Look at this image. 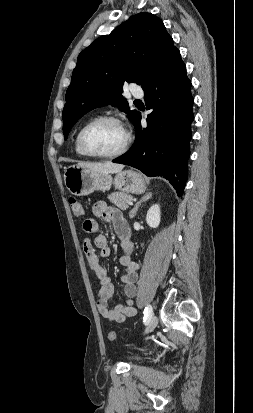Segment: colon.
I'll return each instance as SVG.
<instances>
[{
	"instance_id": "colon-1",
	"label": "colon",
	"mask_w": 253,
	"mask_h": 413,
	"mask_svg": "<svg viewBox=\"0 0 253 413\" xmlns=\"http://www.w3.org/2000/svg\"><path fill=\"white\" fill-rule=\"evenodd\" d=\"M69 204L72 210V213L77 216L81 217L84 214V208L82 204L74 197L69 198ZM118 338L117 333L115 331H109L108 339L114 341Z\"/></svg>"
}]
</instances>
